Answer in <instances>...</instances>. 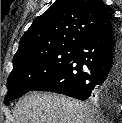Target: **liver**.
Wrapping results in <instances>:
<instances>
[{"label": "liver", "instance_id": "1", "mask_svg": "<svg viewBox=\"0 0 122 123\" xmlns=\"http://www.w3.org/2000/svg\"><path fill=\"white\" fill-rule=\"evenodd\" d=\"M99 118L89 103L47 92L29 93L14 109V123H99Z\"/></svg>", "mask_w": 122, "mask_h": 123}]
</instances>
